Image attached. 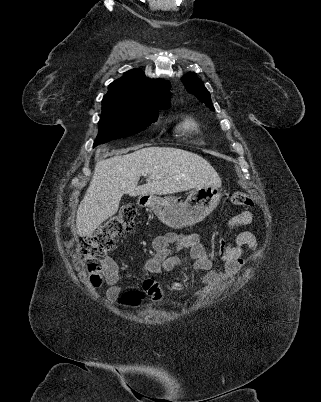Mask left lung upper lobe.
<instances>
[{
	"label": "left lung upper lobe",
	"mask_w": 321,
	"mask_h": 402,
	"mask_svg": "<svg viewBox=\"0 0 321 402\" xmlns=\"http://www.w3.org/2000/svg\"><path fill=\"white\" fill-rule=\"evenodd\" d=\"M182 81L188 92L195 95L201 102H204L210 109L215 110L211 99L210 93L205 88L203 82L198 79L193 72L187 73L182 77Z\"/></svg>",
	"instance_id": "left-lung-upper-lobe-1"
}]
</instances>
